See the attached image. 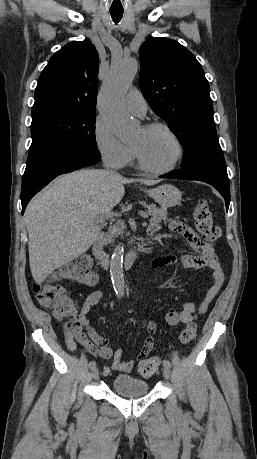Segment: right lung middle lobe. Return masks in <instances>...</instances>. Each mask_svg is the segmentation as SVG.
I'll use <instances>...</instances> for the list:
<instances>
[{
    "mask_svg": "<svg viewBox=\"0 0 257 459\" xmlns=\"http://www.w3.org/2000/svg\"><path fill=\"white\" fill-rule=\"evenodd\" d=\"M96 113L51 107L32 112L30 149L67 145L100 155L95 140Z\"/></svg>",
    "mask_w": 257,
    "mask_h": 459,
    "instance_id": "obj_1",
    "label": "right lung middle lobe"
}]
</instances>
